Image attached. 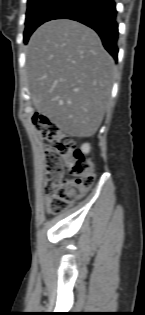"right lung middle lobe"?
<instances>
[{
	"mask_svg": "<svg viewBox=\"0 0 145 315\" xmlns=\"http://www.w3.org/2000/svg\"><path fill=\"white\" fill-rule=\"evenodd\" d=\"M66 0H28L26 13L24 42L27 43L35 29Z\"/></svg>",
	"mask_w": 145,
	"mask_h": 315,
	"instance_id": "obj_1",
	"label": "right lung middle lobe"
}]
</instances>
